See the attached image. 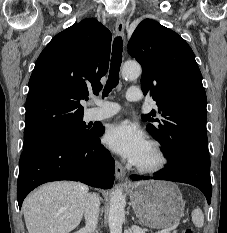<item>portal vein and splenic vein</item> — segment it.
I'll list each match as a JSON object with an SVG mask.
<instances>
[{
	"label": "portal vein and splenic vein",
	"instance_id": "obj_1",
	"mask_svg": "<svg viewBox=\"0 0 227 233\" xmlns=\"http://www.w3.org/2000/svg\"><path fill=\"white\" fill-rule=\"evenodd\" d=\"M160 233H170V231L168 230V231H163V232H160Z\"/></svg>",
	"mask_w": 227,
	"mask_h": 233
}]
</instances>
